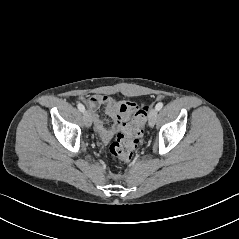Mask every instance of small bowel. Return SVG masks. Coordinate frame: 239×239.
Returning <instances> with one entry per match:
<instances>
[{
    "label": "small bowel",
    "mask_w": 239,
    "mask_h": 239,
    "mask_svg": "<svg viewBox=\"0 0 239 239\" xmlns=\"http://www.w3.org/2000/svg\"><path fill=\"white\" fill-rule=\"evenodd\" d=\"M86 103L92 112L91 120L95 130L104 142H109L123 127L124 123L140 109L136 103L117 101L113 97L103 94L91 96ZM100 108H103L104 112L111 118V126H106L99 117L98 110Z\"/></svg>",
    "instance_id": "c3829d8e"
}]
</instances>
